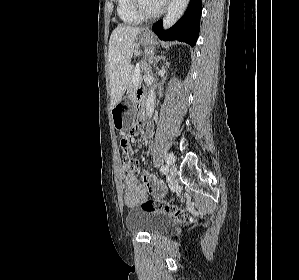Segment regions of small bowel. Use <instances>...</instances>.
Returning a JSON list of instances; mask_svg holds the SVG:
<instances>
[{
    "label": "small bowel",
    "instance_id": "1",
    "mask_svg": "<svg viewBox=\"0 0 299 280\" xmlns=\"http://www.w3.org/2000/svg\"><path fill=\"white\" fill-rule=\"evenodd\" d=\"M139 107V106H138ZM145 118L139 110L137 120L132 127L133 133L139 132L144 126ZM152 131V125H148L143 136L142 143H148V136ZM152 151L153 147L149 146ZM167 189L164 183L148 172H144L140 177L131 175L126 178V190L123 195L124 203L130 208L141 205L148 200L149 195L162 198L166 195Z\"/></svg>",
    "mask_w": 299,
    "mask_h": 280
}]
</instances>
